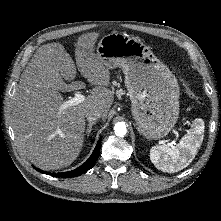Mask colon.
<instances>
[{"mask_svg": "<svg viewBox=\"0 0 221 221\" xmlns=\"http://www.w3.org/2000/svg\"><path fill=\"white\" fill-rule=\"evenodd\" d=\"M184 87H185V91L188 94L189 97H191L192 99H194L196 102L198 103H202V99L200 97H198L189 87L188 85L184 82Z\"/></svg>", "mask_w": 221, "mask_h": 221, "instance_id": "obj_1", "label": "colon"}]
</instances>
